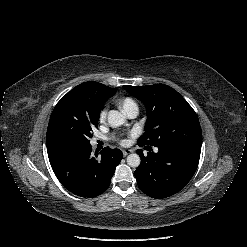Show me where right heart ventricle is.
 <instances>
[{"label": "right heart ventricle", "instance_id": "right-heart-ventricle-1", "mask_svg": "<svg viewBox=\"0 0 247 247\" xmlns=\"http://www.w3.org/2000/svg\"><path fill=\"white\" fill-rule=\"evenodd\" d=\"M123 108L127 110L131 105L136 104L135 101L130 97H125L121 100Z\"/></svg>", "mask_w": 247, "mask_h": 247}]
</instances>
